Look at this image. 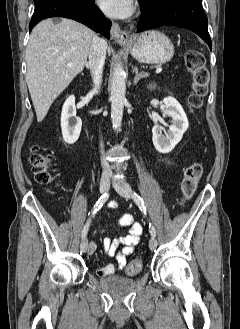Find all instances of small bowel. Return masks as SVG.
<instances>
[{
	"label": "small bowel",
	"instance_id": "obj_1",
	"mask_svg": "<svg viewBox=\"0 0 240 329\" xmlns=\"http://www.w3.org/2000/svg\"><path fill=\"white\" fill-rule=\"evenodd\" d=\"M117 206L118 203L115 201L109 203V207L112 209L117 208ZM118 226L127 228V233L119 238L103 239L102 246L104 252L108 256L114 257L115 262L100 268L98 270L100 276H107L121 271L127 263V257L134 252L135 246L141 240L143 227L135 220L133 215L125 214L121 216L118 220ZM96 248L97 246L95 242H89L87 247L88 254H93L96 251Z\"/></svg>",
	"mask_w": 240,
	"mask_h": 329
}]
</instances>
